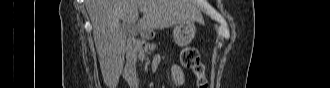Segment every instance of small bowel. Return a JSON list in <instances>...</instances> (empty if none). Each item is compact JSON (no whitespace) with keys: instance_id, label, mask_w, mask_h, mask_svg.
Segmentation results:
<instances>
[{"instance_id":"small-bowel-1","label":"small bowel","mask_w":330,"mask_h":88,"mask_svg":"<svg viewBox=\"0 0 330 88\" xmlns=\"http://www.w3.org/2000/svg\"><path fill=\"white\" fill-rule=\"evenodd\" d=\"M171 79L174 85L181 87L185 82V74L179 65H173L170 69Z\"/></svg>"}]
</instances>
